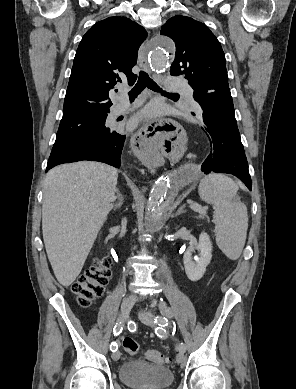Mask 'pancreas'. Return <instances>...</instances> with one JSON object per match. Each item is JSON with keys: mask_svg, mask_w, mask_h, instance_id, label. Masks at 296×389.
Wrapping results in <instances>:
<instances>
[{"mask_svg": "<svg viewBox=\"0 0 296 389\" xmlns=\"http://www.w3.org/2000/svg\"><path fill=\"white\" fill-rule=\"evenodd\" d=\"M200 208V210L199 211H197V212H199L200 213V216L202 217L203 215H204V212H205V208H203V207H199Z\"/></svg>", "mask_w": 296, "mask_h": 389, "instance_id": "obj_1", "label": "pancreas"}]
</instances>
